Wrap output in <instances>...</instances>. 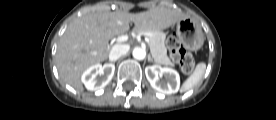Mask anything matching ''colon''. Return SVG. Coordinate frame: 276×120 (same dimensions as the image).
I'll use <instances>...</instances> for the list:
<instances>
[{
	"mask_svg": "<svg viewBox=\"0 0 276 120\" xmlns=\"http://www.w3.org/2000/svg\"><path fill=\"white\" fill-rule=\"evenodd\" d=\"M167 46L172 59L179 64L182 72L185 74L191 73L194 69V59L183 47L176 34H172L168 37Z\"/></svg>",
	"mask_w": 276,
	"mask_h": 120,
	"instance_id": "5ec220e1",
	"label": "colon"
}]
</instances>
